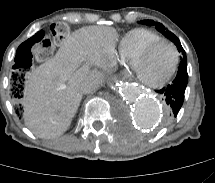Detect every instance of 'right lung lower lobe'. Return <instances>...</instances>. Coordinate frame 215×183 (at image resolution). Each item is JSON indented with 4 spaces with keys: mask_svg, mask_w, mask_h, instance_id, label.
Segmentation results:
<instances>
[{
    "mask_svg": "<svg viewBox=\"0 0 215 183\" xmlns=\"http://www.w3.org/2000/svg\"><path fill=\"white\" fill-rule=\"evenodd\" d=\"M22 83L17 82L16 86L13 88V95L14 97H19L20 98V93L22 91Z\"/></svg>",
    "mask_w": 215,
    "mask_h": 183,
    "instance_id": "98d812e1",
    "label": "right lung lower lobe"
}]
</instances>
